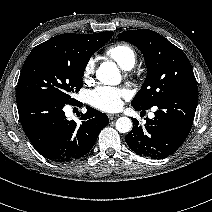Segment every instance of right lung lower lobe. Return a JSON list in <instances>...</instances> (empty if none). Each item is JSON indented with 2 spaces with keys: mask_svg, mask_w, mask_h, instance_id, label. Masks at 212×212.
<instances>
[{
  "mask_svg": "<svg viewBox=\"0 0 212 212\" xmlns=\"http://www.w3.org/2000/svg\"><path fill=\"white\" fill-rule=\"evenodd\" d=\"M23 130L34 148L54 162H70L86 155L94 146L108 117L91 107L81 114V124L66 119V103L44 95L16 97Z\"/></svg>",
  "mask_w": 212,
  "mask_h": 212,
  "instance_id": "1",
  "label": "right lung lower lobe"
}]
</instances>
